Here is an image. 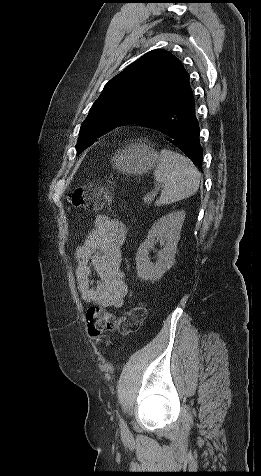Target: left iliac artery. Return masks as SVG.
I'll return each mask as SVG.
<instances>
[{
    "mask_svg": "<svg viewBox=\"0 0 261 476\" xmlns=\"http://www.w3.org/2000/svg\"><path fill=\"white\" fill-rule=\"evenodd\" d=\"M120 426L123 431H126V432L128 431L127 424L125 423L123 419H120Z\"/></svg>",
    "mask_w": 261,
    "mask_h": 476,
    "instance_id": "1",
    "label": "left iliac artery"
}]
</instances>
